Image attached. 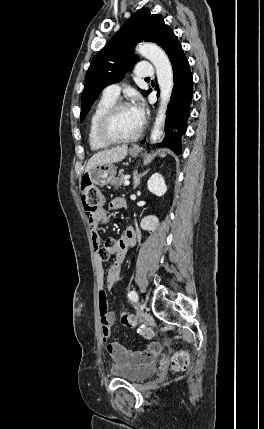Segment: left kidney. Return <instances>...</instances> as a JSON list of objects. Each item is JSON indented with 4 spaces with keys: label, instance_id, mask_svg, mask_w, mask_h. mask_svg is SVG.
<instances>
[{
    "label": "left kidney",
    "instance_id": "1",
    "mask_svg": "<svg viewBox=\"0 0 264 429\" xmlns=\"http://www.w3.org/2000/svg\"><path fill=\"white\" fill-rule=\"evenodd\" d=\"M147 187L150 192L158 197L163 196L167 191L165 180L159 173H155L149 178ZM158 225L159 220L156 216L144 217L140 222V227L148 231H155Z\"/></svg>",
    "mask_w": 264,
    "mask_h": 429
}]
</instances>
